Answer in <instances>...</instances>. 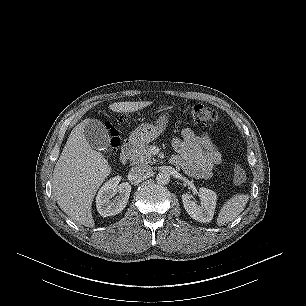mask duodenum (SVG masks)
Instances as JSON below:
<instances>
[{
	"label": "duodenum",
	"mask_w": 306,
	"mask_h": 306,
	"mask_svg": "<svg viewBox=\"0 0 306 306\" xmlns=\"http://www.w3.org/2000/svg\"><path fill=\"white\" fill-rule=\"evenodd\" d=\"M134 148H135V143L133 141H126L123 144L120 152L121 163L125 164L129 160Z\"/></svg>",
	"instance_id": "1"
}]
</instances>
